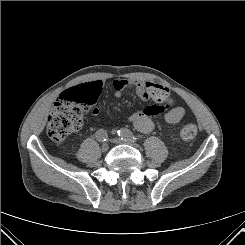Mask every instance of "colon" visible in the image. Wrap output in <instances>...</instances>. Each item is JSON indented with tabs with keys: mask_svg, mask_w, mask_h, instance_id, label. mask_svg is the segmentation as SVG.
Listing matches in <instances>:
<instances>
[{
	"mask_svg": "<svg viewBox=\"0 0 245 245\" xmlns=\"http://www.w3.org/2000/svg\"><path fill=\"white\" fill-rule=\"evenodd\" d=\"M101 92L97 82L85 83L64 91L54 103L48 118L47 132L54 141H62L78 131L83 122V111L94 105ZM184 140H192L197 135V126L184 124L180 129Z\"/></svg>",
	"mask_w": 245,
	"mask_h": 245,
	"instance_id": "obj_1",
	"label": "colon"
}]
</instances>
